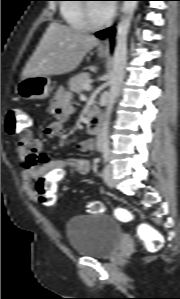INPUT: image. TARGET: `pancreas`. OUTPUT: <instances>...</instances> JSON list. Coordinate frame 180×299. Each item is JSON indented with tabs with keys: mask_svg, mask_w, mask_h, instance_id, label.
<instances>
[{
	"mask_svg": "<svg viewBox=\"0 0 180 299\" xmlns=\"http://www.w3.org/2000/svg\"><path fill=\"white\" fill-rule=\"evenodd\" d=\"M90 81V74L89 73H80L78 75H75L69 80L68 86L69 90L75 93L82 92L83 85L89 84Z\"/></svg>",
	"mask_w": 180,
	"mask_h": 299,
	"instance_id": "1",
	"label": "pancreas"
}]
</instances>
